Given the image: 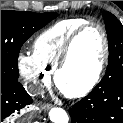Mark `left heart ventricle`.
Returning <instances> with one entry per match:
<instances>
[{
	"label": "left heart ventricle",
	"mask_w": 123,
	"mask_h": 123,
	"mask_svg": "<svg viewBox=\"0 0 123 123\" xmlns=\"http://www.w3.org/2000/svg\"><path fill=\"white\" fill-rule=\"evenodd\" d=\"M102 51L103 41L99 29H87L76 40L70 59L60 73V87L65 91H74L85 86L97 71Z\"/></svg>",
	"instance_id": "b2bd125f"
}]
</instances>
